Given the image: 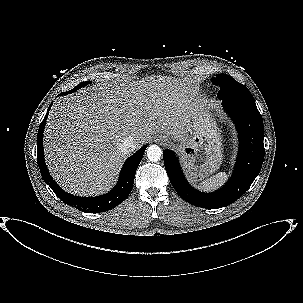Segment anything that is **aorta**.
Segmentation results:
<instances>
[{"mask_svg": "<svg viewBox=\"0 0 303 303\" xmlns=\"http://www.w3.org/2000/svg\"><path fill=\"white\" fill-rule=\"evenodd\" d=\"M146 154L151 162H157L162 157V149L157 145H150L146 150Z\"/></svg>", "mask_w": 303, "mask_h": 303, "instance_id": "762f6f07", "label": "aorta"}]
</instances>
